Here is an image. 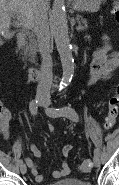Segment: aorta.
<instances>
[{"mask_svg":"<svg viewBox=\"0 0 119 185\" xmlns=\"http://www.w3.org/2000/svg\"><path fill=\"white\" fill-rule=\"evenodd\" d=\"M50 25L62 63L63 77L61 85L63 86L71 81L74 73V60L68 37L64 0H54L50 15Z\"/></svg>","mask_w":119,"mask_h":185,"instance_id":"762f6f07","label":"aorta"}]
</instances>
